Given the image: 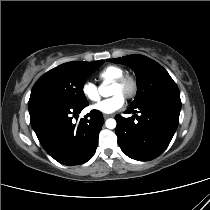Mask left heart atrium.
Returning a JSON list of instances; mask_svg holds the SVG:
<instances>
[{
  "label": "left heart atrium",
  "instance_id": "left-heart-atrium-1",
  "mask_svg": "<svg viewBox=\"0 0 210 210\" xmlns=\"http://www.w3.org/2000/svg\"><path fill=\"white\" fill-rule=\"evenodd\" d=\"M124 102V97L121 94H116L108 99L100 101L91 108L103 114H111L120 110L124 106Z\"/></svg>",
  "mask_w": 210,
  "mask_h": 210
}]
</instances>
